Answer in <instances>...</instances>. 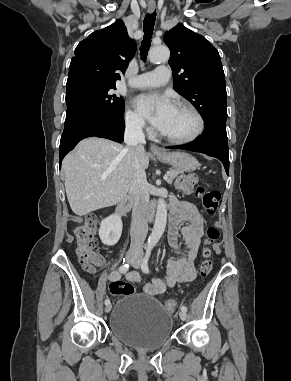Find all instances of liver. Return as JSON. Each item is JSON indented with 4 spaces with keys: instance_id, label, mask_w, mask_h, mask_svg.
<instances>
[{
    "instance_id": "1",
    "label": "liver",
    "mask_w": 291,
    "mask_h": 381,
    "mask_svg": "<svg viewBox=\"0 0 291 381\" xmlns=\"http://www.w3.org/2000/svg\"><path fill=\"white\" fill-rule=\"evenodd\" d=\"M141 165L144 170L149 165L145 150ZM62 169L70 207L84 216L125 198L133 178L131 149L107 139L87 138L64 158Z\"/></svg>"
}]
</instances>
